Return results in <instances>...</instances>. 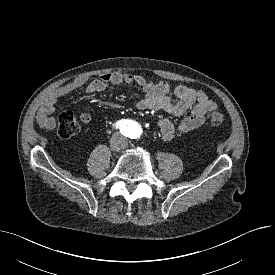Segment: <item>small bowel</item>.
<instances>
[{
	"instance_id": "c3829d8e",
	"label": "small bowel",
	"mask_w": 275,
	"mask_h": 275,
	"mask_svg": "<svg viewBox=\"0 0 275 275\" xmlns=\"http://www.w3.org/2000/svg\"><path fill=\"white\" fill-rule=\"evenodd\" d=\"M123 83L143 89L144 96L137 102L139 109H162L175 116H182L190 111V115L185 117L177 127L168 118H162L159 121V131L165 141L172 140L177 132L185 134L199 128L205 123L206 114L217 108V104L201 90L178 85L173 90L176 98L174 100L170 95V85L165 81L154 83L139 74L116 72L102 74L89 83L86 77L81 76L52 90L39 108L36 121L41 128L53 129L56 124L55 117L52 115L55 104L63 96L81 88H85L86 94L91 95L105 90L110 85ZM78 114L84 123L91 120V114L88 111H79Z\"/></svg>"
}]
</instances>
